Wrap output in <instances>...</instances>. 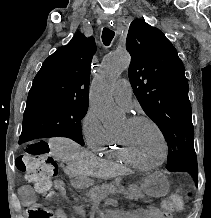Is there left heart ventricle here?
Listing matches in <instances>:
<instances>
[{
    "mask_svg": "<svg viewBox=\"0 0 211 218\" xmlns=\"http://www.w3.org/2000/svg\"><path fill=\"white\" fill-rule=\"evenodd\" d=\"M125 138L133 155L142 162L155 163L160 160L162 147L159 135L148 122L131 123L128 119L117 131Z\"/></svg>",
    "mask_w": 211,
    "mask_h": 218,
    "instance_id": "b2bd125f",
    "label": "left heart ventricle"
}]
</instances>
